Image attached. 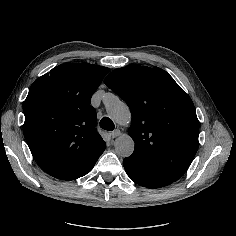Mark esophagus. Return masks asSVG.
Masks as SVG:
<instances>
[{
    "instance_id": "esophagus-1",
    "label": "esophagus",
    "mask_w": 236,
    "mask_h": 236,
    "mask_svg": "<svg viewBox=\"0 0 236 236\" xmlns=\"http://www.w3.org/2000/svg\"><path fill=\"white\" fill-rule=\"evenodd\" d=\"M120 134H121V131L119 129H116L111 133V136H112V138H116V137L120 136Z\"/></svg>"
}]
</instances>
